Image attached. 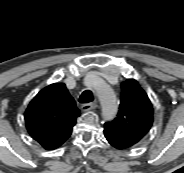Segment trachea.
<instances>
[{"mask_svg": "<svg viewBox=\"0 0 184 173\" xmlns=\"http://www.w3.org/2000/svg\"><path fill=\"white\" fill-rule=\"evenodd\" d=\"M92 101H93V94L89 90L84 91L79 97L80 103H89Z\"/></svg>", "mask_w": 184, "mask_h": 173, "instance_id": "1", "label": "trachea"}]
</instances>
